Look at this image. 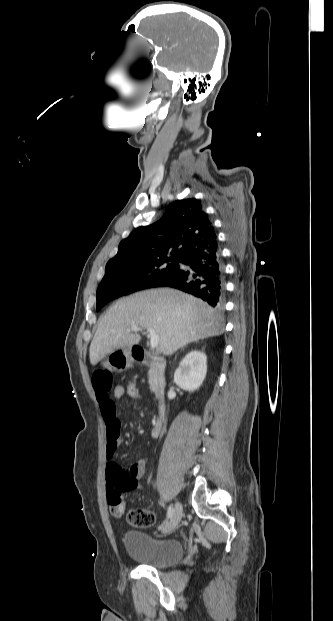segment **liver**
Listing matches in <instances>:
<instances>
[{
	"instance_id": "1",
	"label": "liver",
	"mask_w": 333,
	"mask_h": 621,
	"mask_svg": "<svg viewBox=\"0 0 333 621\" xmlns=\"http://www.w3.org/2000/svg\"><path fill=\"white\" fill-rule=\"evenodd\" d=\"M223 318L205 302L180 291L163 288L137 292L118 300L100 319L90 344L96 365L115 350L132 348L141 336L130 328H153L160 351L171 355L190 342L223 333Z\"/></svg>"
}]
</instances>
